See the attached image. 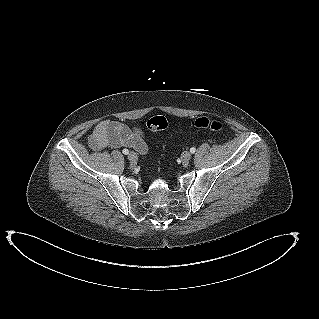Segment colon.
I'll return each mask as SVG.
<instances>
[{
  "label": "colon",
  "mask_w": 319,
  "mask_h": 319,
  "mask_svg": "<svg viewBox=\"0 0 319 319\" xmlns=\"http://www.w3.org/2000/svg\"><path fill=\"white\" fill-rule=\"evenodd\" d=\"M192 125L196 128L209 129L214 132H220L223 129V125L220 121L207 117L195 119ZM147 127L152 131L164 130L168 127V119L161 115L151 117L147 121Z\"/></svg>",
  "instance_id": "1"
}]
</instances>
